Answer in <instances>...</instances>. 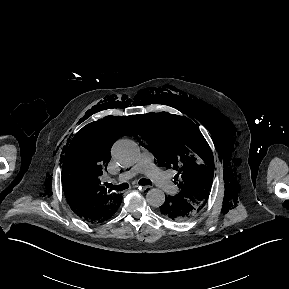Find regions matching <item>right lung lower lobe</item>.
I'll use <instances>...</instances> for the list:
<instances>
[{"mask_svg":"<svg viewBox=\"0 0 289 289\" xmlns=\"http://www.w3.org/2000/svg\"><path fill=\"white\" fill-rule=\"evenodd\" d=\"M119 206H120V204H119ZM119 206H118V207H119ZM118 207H117V208H113L112 210H110L108 213H106L101 219H99V220L96 221V222H97V223H98V222H102V221H105V220H107L108 218H110V217L117 211Z\"/></svg>","mask_w":289,"mask_h":289,"instance_id":"right-lung-lower-lobe-1","label":"right lung lower lobe"}]
</instances>
